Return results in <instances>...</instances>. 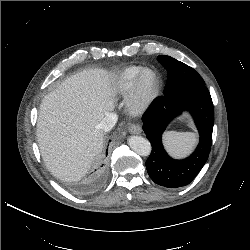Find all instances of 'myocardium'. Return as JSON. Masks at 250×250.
<instances>
[{"mask_svg":"<svg viewBox=\"0 0 250 250\" xmlns=\"http://www.w3.org/2000/svg\"><path fill=\"white\" fill-rule=\"evenodd\" d=\"M151 74L153 81L149 89L143 88L144 78ZM160 90V79L155 70L145 68L135 80L127 97V109L130 114L139 116L144 114L153 104Z\"/></svg>","mask_w":250,"mask_h":250,"instance_id":"myocardium-1","label":"myocardium"}]
</instances>
